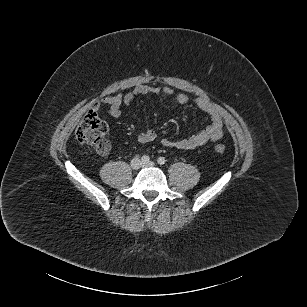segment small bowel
Returning a JSON list of instances; mask_svg holds the SVG:
<instances>
[{
	"mask_svg": "<svg viewBox=\"0 0 307 307\" xmlns=\"http://www.w3.org/2000/svg\"><path fill=\"white\" fill-rule=\"evenodd\" d=\"M159 93H162L165 96L174 95V91L170 87L159 88L148 85H139L126 94H116L103 98L97 104H95L94 110H98L100 106H108L110 115L114 118H118L121 116L122 108L124 106H129L136 97L156 95ZM175 100L180 105H185L190 101L188 95L185 93L176 94ZM193 104L209 116L210 124L205 129L185 139L170 140L163 138L161 139V144L164 147L176 148L180 150H193L204 146L208 142H217L222 138L223 120L221 114L215 108V106L203 98L194 99ZM155 139L156 133L152 129H146L140 132L137 136V141L141 144L152 142Z\"/></svg>",
	"mask_w": 307,
	"mask_h": 307,
	"instance_id": "1",
	"label": "small bowel"
}]
</instances>
